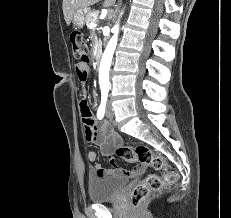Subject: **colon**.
Masks as SVG:
<instances>
[{"instance_id": "5ec220e1", "label": "colon", "mask_w": 231, "mask_h": 218, "mask_svg": "<svg viewBox=\"0 0 231 218\" xmlns=\"http://www.w3.org/2000/svg\"><path fill=\"white\" fill-rule=\"evenodd\" d=\"M70 42L74 57L80 60L84 56H89V47L79 30L71 32ZM116 154L128 162H140L160 171L159 173L149 174L133 188L131 203L134 206H139L151 193L157 192L177 181V172L171 169L160 155L145 145H119L116 149Z\"/></svg>"}]
</instances>
